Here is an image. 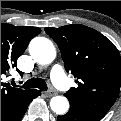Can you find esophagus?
Masks as SVG:
<instances>
[{
	"label": "esophagus",
	"mask_w": 121,
	"mask_h": 121,
	"mask_svg": "<svg viewBox=\"0 0 121 121\" xmlns=\"http://www.w3.org/2000/svg\"><path fill=\"white\" fill-rule=\"evenodd\" d=\"M44 94L46 97H51L53 95V92L52 91H45Z\"/></svg>",
	"instance_id": "obj_1"
}]
</instances>
